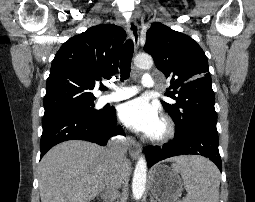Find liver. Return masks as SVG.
<instances>
[{
	"instance_id": "1",
	"label": "liver",
	"mask_w": 255,
	"mask_h": 202,
	"mask_svg": "<svg viewBox=\"0 0 255 202\" xmlns=\"http://www.w3.org/2000/svg\"><path fill=\"white\" fill-rule=\"evenodd\" d=\"M184 157L171 158L180 161ZM115 162L108 149L94 143L70 140L50 149L39 166L41 202H90L105 187ZM130 163L123 166V178Z\"/></svg>"
}]
</instances>
